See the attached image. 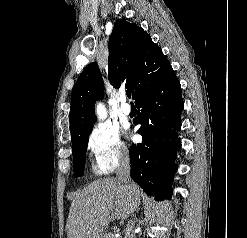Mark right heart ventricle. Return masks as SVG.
Instances as JSON below:
<instances>
[{
    "label": "right heart ventricle",
    "mask_w": 247,
    "mask_h": 238,
    "mask_svg": "<svg viewBox=\"0 0 247 238\" xmlns=\"http://www.w3.org/2000/svg\"><path fill=\"white\" fill-rule=\"evenodd\" d=\"M94 171L96 173H101L102 172V170L98 166L94 167Z\"/></svg>",
    "instance_id": "1"
}]
</instances>
